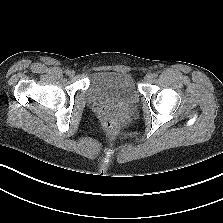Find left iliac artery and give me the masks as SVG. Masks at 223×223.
Returning a JSON list of instances; mask_svg holds the SVG:
<instances>
[{"label":"left iliac artery","instance_id":"1","mask_svg":"<svg viewBox=\"0 0 223 223\" xmlns=\"http://www.w3.org/2000/svg\"><path fill=\"white\" fill-rule=\"evenodd\" d=\"M158 76V73H153V77L156 78Z\"/></svg>","mask_w":223,"mask_h":223}]
</instances>
